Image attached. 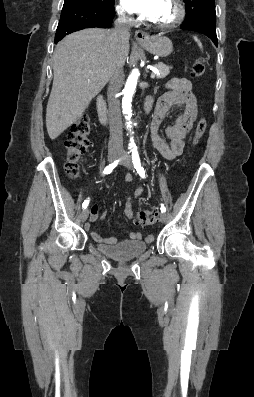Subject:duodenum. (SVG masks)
<instances>
[{"mask_svg":"<svg viewBox=\"0 0 254 397\" xmlns=\"http://www.w3.org/2000/svg\"><path fill=\"white\" fill-rule=\"evenodd\" d=\"M96 106H97V113H98L99 120L102 124H105L107 121L108 112H107V106H106V102H105L103 95H99L97 97ZM151 106H152V99H151V97H148L144 104L145 113H148L150 111Z\"/></svg>","mask_w":254,"mask_h":397,"instance_id":"410a0bca","label":"duodenum"}]
</instances>
